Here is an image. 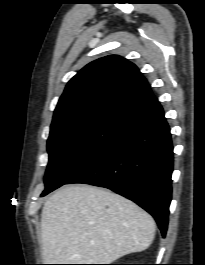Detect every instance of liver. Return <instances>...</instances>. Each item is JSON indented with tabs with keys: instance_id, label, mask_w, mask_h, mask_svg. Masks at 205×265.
<instances>
[{
	"instance_id": "6515ba94",
	"label": "liver",
	"mask_w": 205,
	"mask_h": 265,
	"mask_svg": "<svg viewBox=\"0 0 205 265\" xmlns=\"http://www.w3.org/2000/svg\"><path fill=\"white\" fill-rule=\"evenodd\" d=\"M153 218L134 202L89 185L65 186L44 203L41 214L46 264H110L149 248Z\"/></svg>"
}]
</instances>
